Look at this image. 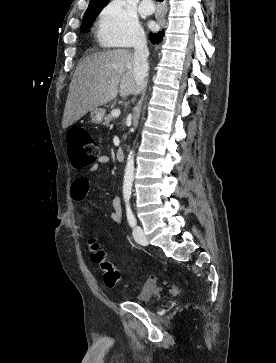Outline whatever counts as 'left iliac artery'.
<instances>
[{
	"label": "left iliac artery",
	"instance_id": "obj_1",
	"mask_svg": "<svg viewBox=\"0 0 276 363\" xmlns=\"http://www.w3.org/2000/svg\"><path fill=\"white\" fill-rule=\"evenodd\" d=\"M126 214H127V219H128L129 225L131 227H134L136 225V218L132 212V209L130 207V203L128 200L126 201Z\"/></svg>",
	"mask_w": 276,
	"mask_h": 363
}]
</instances>
